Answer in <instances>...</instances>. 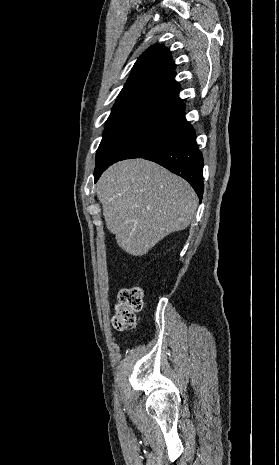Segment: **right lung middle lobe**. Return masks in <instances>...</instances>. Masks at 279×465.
<instances>
[{"label": "right lung middle lobe", "mask_w": 279, "mask_h": 465, "mask_svg": "<svg viewBox=\"0 0 279 465\" xmlns=\"http://www.w3.org/2000/svg\"><path fill=\"white\" fill-rule=\"evenodd\" d=\"M181 125L134 122L108 126L96 153V168L146 155L172 142Z\"/></svg>", "instance_id": "obj_1"}]
</instances>
